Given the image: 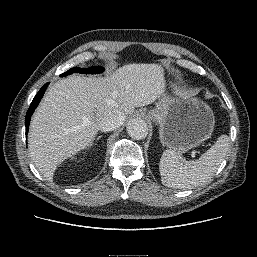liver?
<instances>
[{
    "instance_id": "1",
    "label": "liver",
    "mask_w": 257,
    "mask_h": 257,
    "mask_svg": "<svg viewBox=\"0 0 257 257\" xmlns=\"http://www.w3.org/2000/svg\"><path fill=\"white\" fill-rule=\"evenodd\" d=\"M164 89L158 64H128L107 77L72 75L50 87L30 124L28 147L39 172L52 180L57 166L91 144L105 115L124 116L154 103Z\"/></svg>"
}]
</instances>
